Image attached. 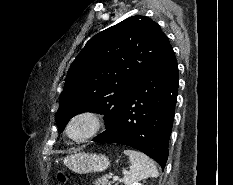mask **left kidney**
Masks as SVG:
<instances>
[{
  "label": "left kidney",
  "mask_w": 233,
  "mask_h": 185,
  "mask_svg": "<svg viewBox=\"0 0 233 185\" xmlns=\"http://www.w3.org/2000/svg\"><path fill=\"white\" fill-rule=\"evenodd\" d=\"M133 185H143V184H141V183H134Z\"/></svg>",
  "instance_id": "1"
}]
</instances>
